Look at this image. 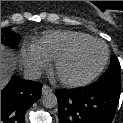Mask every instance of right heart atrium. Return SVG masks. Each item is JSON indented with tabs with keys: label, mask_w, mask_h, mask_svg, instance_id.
<instances>
[{
	"label": "right heart atrium",
	"mask_w": 123,
	"mask_h": 123,
	"mask_svg": "<svg viewBox=\"0 0 123 123\" xmlns=\"http://www.w3.org/2000/svg\"><path fill=\"white\" fill-rule=\"evenodd\" d=\"M21 58L26 69L33 75H37L48 66V59L32 48L23 50Z\"/></svg>",
	"instance_id": "obj_1"
}]
</instances>
